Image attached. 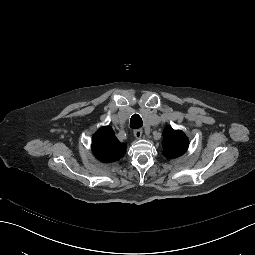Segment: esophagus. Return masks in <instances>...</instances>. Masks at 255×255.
Masks as SVG:
<instances>
[{"instance_id":"esophagus-1","label":"esophagus","mask_w":255,"mask_h":255,"mask_svg":"<svg viewBox=\"0 0 255 255\" xmlns=\"http://www.w3.org/2000/svg\"><path fill=\"white\" fill-rule=\"evenodd\" d=\"M134 136H135L136 139H141V137H142V129L134 130Z\"/></svg>"}]
</instances>
